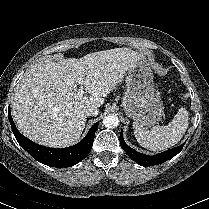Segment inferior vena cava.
Listing matches in <instances>:
<instances>
[{"label":"inferior vena cava","mask_w":209,"mask_h":209,"mask_svg":"<svg viewBox=\"0 0 209 209\" xmlns=\"http://www.w3.org/2000/svg\"><path fill=\"white\" fill-rule=\"evenodd\" d=\"M83 112L86 116H96L98 115V108L94 105H89L84 107Z\"/></svg>","instance_id":"1"}]
</instances>
